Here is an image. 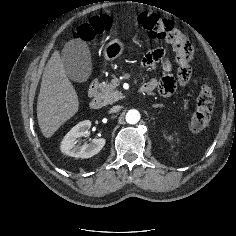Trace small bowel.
I'll return each instance as SVG.
<instances>
[{
	"instance_id": "c3829d8e",
	"label": "small bowel",
	"mask_w": 236,
	"mask_h": 236,
	"mask_svg": "<svg viewBox=\"0 0 236 236\" xmlns=\"http://www.w3.org/2000/svg\"><path fill=\"white\" fill-rule=\"evenodd\" d=\"M193 52V48L189 41H187V44H185L180 51L176 50V61L178 64L177 77L171 74L172 63L167 57L165 50L157 48L147 53L142 59V65L144 67H152L156 64H160L163 70V75L159 79L148 81L142 86V88L147 91L146 93L157 90L164 97L172 95L178 85H185L190 80V63L193 58ZM184 76L188 77V81L185 84L182 83V78Z\"/></svg>"
}]
</instances>
